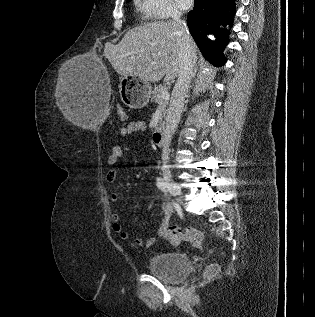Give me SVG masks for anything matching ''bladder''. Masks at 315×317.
Instances as JSON below:
<instances>
[{"label": "bladder", "mask_w": 315, "mask_h": 317, "mask_svg": "<svg viewBox=\"0 0 315 317\" xmlns=\"http://www.w3.org/2000/svg\"><path fill=\"white\" fill-rule=\"evenodd\" d=\"M148 270L161 279L178 282L189 275L191 263L184 253H161L149 259Z\"/></svg>", "instance_id": "bladder-1"}]
</instances>
